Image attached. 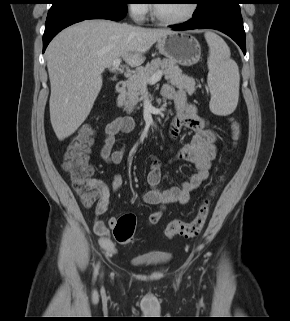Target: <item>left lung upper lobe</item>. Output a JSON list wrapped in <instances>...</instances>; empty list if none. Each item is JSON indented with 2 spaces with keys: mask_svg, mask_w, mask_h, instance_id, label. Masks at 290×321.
I'll return each instance as SVG.
<instances>
[{
  "mask_svg": "<svg viewBox=\"0 0 290 321\" xmlns=\"http://www.w3.org/2000/svg\"><path fill=\"white\" fill-rule=\"evenodd\" d=\"M197 4V9L194 14L205 10L207 7L212 5L216 0H195Z\"/></svg>",
  "mask_w": 290,
  "mask_h": 321,
  "instance_id": "5c2ea615",
  "label": "left lung upper lobe"
}]
</instances>
